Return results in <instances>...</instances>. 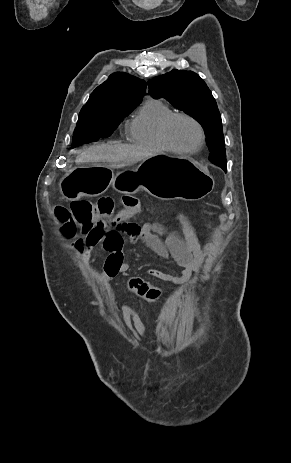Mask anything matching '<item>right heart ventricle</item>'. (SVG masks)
Returning a JSON list of instances; mask_svg holds the SVG:
<instances>
[{"instance_id": "obj_1", "label": "right heart ventricle", "mask_w": 291, "mask_h": 463, "mask_svg": "<svg viewBox=\"0 0 291 463\" xmlns=\"http://www.w3.org/2000/svg\"><path fill=\"white\" fill-rule=\"evenodd\" d=\"M175 112L158 99H148L131 119L127 133L131 142L159 151H168L161 137L163 122Z\"/></svg>"}]
</instances>
